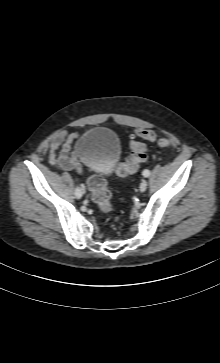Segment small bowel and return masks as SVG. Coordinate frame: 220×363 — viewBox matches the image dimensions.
<instances>
[{
  "instance_id": "1",
  "label": "small bowel",
  "mask_w": 220,
  "mask_h": 363,
  "mask_svg": "<svg viewBox=\"0 0 220 363\" xmlns=\"http://www.w3.org/2000/svg\"><path fill=\"white\" fill-rule=\"evenodd\" d=\"M77 136V133L67 131L58 132L53 136L49 149V161L53 166L67 171H82L77 156L71 152V142Z\"/></svg>"
}]
</instances>
